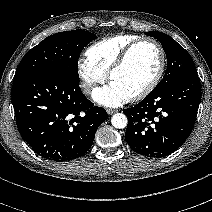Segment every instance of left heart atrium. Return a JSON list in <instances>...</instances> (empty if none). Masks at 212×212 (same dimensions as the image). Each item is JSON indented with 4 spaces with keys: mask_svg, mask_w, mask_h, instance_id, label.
Here are the masks:
<instances>
[{
    "mask_svg": "<svg viewBox=\"0 0 212 212\" xmlns=\"http://www.w3.org/2000/svg\"><path fill=\"white\" fill-rule=\"evenodd\" d=\"M93 98L106 106H118L130 99V96L110 83L108 86L95 90Z\"/></svg>",
    "mask_w": 212,
    "mask_h": 212,
    "instance_id": "left-heart-atrium-1",
    "label": "left heart atrium"
}]
</instances>
